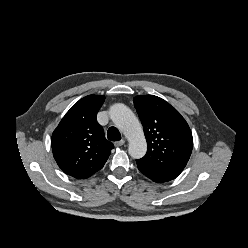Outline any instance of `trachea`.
I'll list each match as a JSON object with an SVG mask.
<instances>
[{
	"label": "trachea",
	"mask_w": 248,
	"mask_h": 248,
	"mask_svg": "<svg viewBox=\"0 0 248 248\" xmlns=\"http://www.w3.org/2000/svg\"><path fill=\"white\" fill-rule=\"evenodd\" d=\"M107 138L110 141H120L121 140V134L116 127H110L108 129V132H107Z\"/></svg>",
	"instance_id": "1"
}]
</instances>
